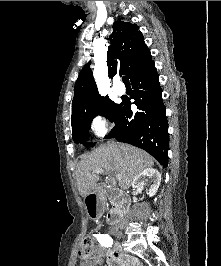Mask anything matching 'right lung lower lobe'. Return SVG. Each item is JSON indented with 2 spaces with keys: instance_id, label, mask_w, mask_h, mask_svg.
Instances as JSON below:
<instances>
[{
  "instance_id": "right-lung-lower-lobe-1",
  "label": "right lung lower lobe",
  "mask_w": 221,
  "mask_h": 266,
  "mask_svg": "<svg viewBox=\"0 0 221 266\" xmlns=\"http://www.w3.org/2000/svg\"><path fill=\"white\" fill-rule=\"evenodd\" d=\"M130 97L138 108L133 112L130 98L122 100L114 120L115 127L105 138H116L151 154L163 167L168 166L169 134L162 101V90L154 61L135 70L130 76Z\"/></svg>"
}]
</instances>
